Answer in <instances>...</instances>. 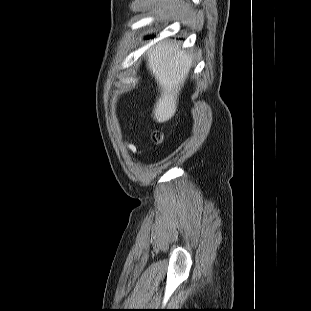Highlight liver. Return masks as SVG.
I'll return each instance as SVG.
<instances>
[{"label": "liver", "mask_w": 311, "mask_h": 311, "mask_svg": "<svg viewBox=\"0 0 311 311\" xmlns=\"http://www.w3.org/2000/svg\"><path fill=\"white\" fill-rule=\"evenodd\" d=\"M192 62V56L169 41L158 43L147 52V67L155 77L161 93L153 110L157 122H166L174 116L179 92L188 77Z\"/></svg>", "instance_id": "liver-1"}]
</instances>
